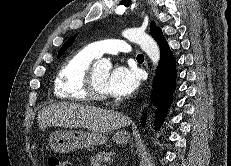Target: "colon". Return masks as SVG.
Here are the masks:
<instances>
[{
	"label": "colon",
	"instance_id": "colon-1",
	"mask_svg": "<svg viewBox=\"0 0 231 166\" xmlns=\"http://www.w3.org/2000/svg\"><path fill=\"white\" fill-rule=\"evenodd\" d=\"M48 166H71V164L66 160L51 156L48 158Z\"/></svg>",
	"mask_w": 231,
	"mask_h": 166
}]
</instances>
